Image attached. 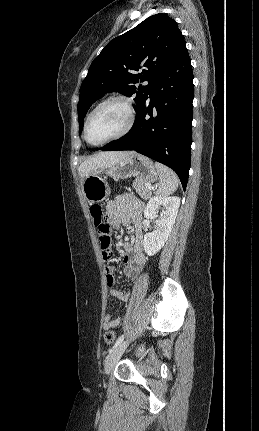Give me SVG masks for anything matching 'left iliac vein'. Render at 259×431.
Here are the masks:
<instances>
[{"instance_id": "left-iliac-vein-1", "label": "left iliac vein", "mask_w": 259, "mask_h": 431, "mask_svg": "<svg viewBox=\"0 0 259 431\" xmlns=\"http://www.w3.org/2000/svg\"><path fill=\"white\" fill-rule=\"evenodd\" d=\"M127 346H128V342L123 341L110 352L108 358L105 361V365H104V370H105V373L107 375H109L112 372L115 365L117 364V362L121 358L122 354L126 350Z\"/></svg>"}]
</instances>
